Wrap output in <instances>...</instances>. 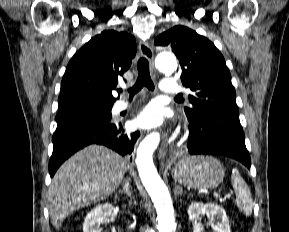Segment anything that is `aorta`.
Here are the masks:
<instances>
[{
  "label": "aorta",
  "instance_id": "1",
  "mask_svg": "<svg viewBox=\"0 0 289 232\" xmlns=\"http://www.w3.org/2000/svg\"><path fill=\"white\" fill-rule=\"evenodd\" d=\"M156 66L159 71L170 74L177 69V61L173 55L160 54ZM159 141L158 133L145 137L137 149L136 164L141 181L156 208L159 232H175L176 222L171 197L153 163L152 156Z\"/></svg>",
  "mask_w": 289,
  "mask_h": 232
}]
</instances>
